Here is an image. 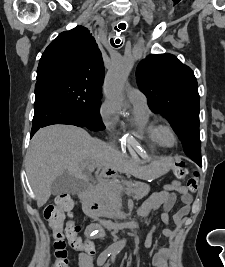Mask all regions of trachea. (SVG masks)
<instances>
[{"label": "trachea", "instance_id": "trachea-1", "mask_svg": "<svg viewBox=\"0 0 225 267\" xmlns=\"http://www.w3.org/2000/svg\"><path fill=\"white\" fill-rule=\"evenodd\" d=\"M118 28H119V29H117V27H115V29H117V31L124 30V29L126 28V24H125V23H120V24L118 25ZM110 42H111V44H112L113 46H115V47H118V46L121 45V44H120V39H117V40L115 41V43H114V40L111 39ZM119 44H120V45H119Z\"/></svg>", "mask_w": 225, "mask_h": 267}]
</instances>
